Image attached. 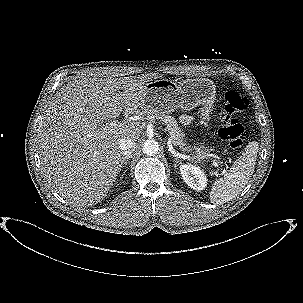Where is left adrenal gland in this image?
<instances>
[{
    "label": "left adrenal gland",
    "instance_id": "obj_1",
    "mask_svg": "<svg viewBox=\"0 0 303 303\" xmlns=\"http://www.w3.org/2000/svg\"><path fill=\"white\" fill-rule=\"evenodd\" d=\"M172 155L175 158V161L178 163V158L176 157V155H174L173 153H172Z\"/></svg>",
    "mask_w": 303,
    "mask_h": 303
}]
</instances>
